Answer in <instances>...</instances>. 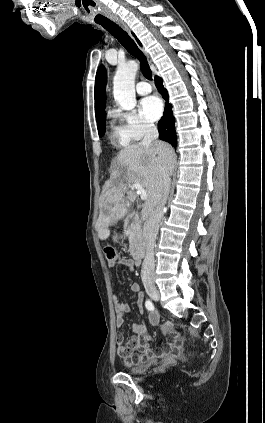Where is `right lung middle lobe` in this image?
Instances as JSON below:
<instances>
[{
	"label": "right lung middle lobe",
	"instance_id": "dd1d6c3e",
	"mask_svg": "<svg viewBox=\"0 0 265 423\" xmlns=\"http://www.w3.org/2000/svg\"><path fill=\"white\" fill-rule=\"evenodd\" d=\"M97 127H98V133L99 136L102 137L105 134V116H103L98 122H97Z\"/></svg>",
	"mask_w": 265,
	"mask_h": 423
}]
</instances>
